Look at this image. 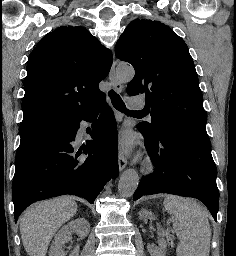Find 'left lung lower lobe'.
<instances>
[{
    "mask_svg": "<svg viewBox=\"0 0 236 256\" xmlns=\"http://www.w3.org/2000/svg\"><path fill=\"white\" fill-rule=\"evenodd\" d=\"M155 166V173L144 176L133 195L170 193L202 201L217 221L219 191L217 169L207 137L162 124L156 136L138 129Z\"/></svg>",
    "mask_w": 236,
    "mask_h": 256,
    "instance_id": "1",
    "label": "left lung lower lobe"
}]
</instances>
